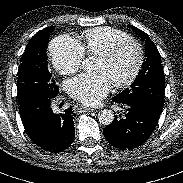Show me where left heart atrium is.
I'll return each instance as SVG.
<instances>
[{"mask_svg": "<svg viewBox=\"0 0 183 183\" xmlns=\"http://www.w3.org/2000/svg\"><path fill=\"white\" fill-rule=\"evenodd\" d=\"M112 82L102 71L81 74L67 82L66 90L86 105H96L109 93Z\"/></svg>", "mask_w": 183, "mask_h": 183, "instance_id": "obj_1", "label": "left heart atrium"}]
</instances>
